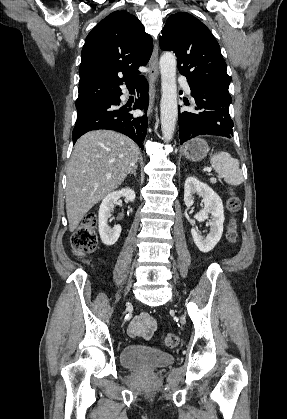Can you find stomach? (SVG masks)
<instances>
[{
  "mask_svg": "<svg viewBox=\"0 0 287 419\" xmlns=\"http://www.w3.org/2000/svg\"><path fill=\"white\" fill-rule=\"evenodd\" d=\"M209 146L202 138H193L183 146V154L192 161H200L207 156Z\"/></svg>",
  "mask_w": 287,
  "mask_h": 419,
  "instance_id": "stomach-1",
  "label": "stomach"
}]
</instances>
